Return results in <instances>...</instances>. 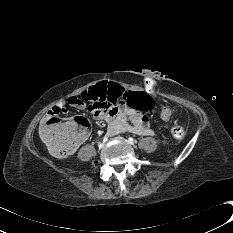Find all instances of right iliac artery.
<instances>
[{
	"label": "right iliac artery",
	"instance_id": "obj_1",
	"mask_svg": "<svg viewBox=\"0 0 233 233\" xmlns=\"http://www.w3.org/2000/svg\"><path fill=\"white\" fill-rule=\"evenodd\" d=\"M106 141H108V137L105 136V137L103 138V142H106Z\"/></svg>",
	"mask_w": 233,
	"mask_h": 233
}]
</instances>
